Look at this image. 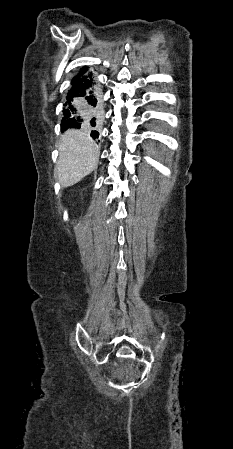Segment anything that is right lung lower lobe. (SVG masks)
<instances>
[{
	"label": "right lung lower lobe",
	"instance_id": "obj_1",
	"mask_svg": "<svg viewBox=\"0 0 233 449\" xmlns=\"http://www.w3.org/2000/svg\"><path fill=\"white\" fill-rule=\"evenodd\" d=\"M64 104L63 130L68 128L95 127L101 119L102 106L92 74L85 71L72 79L71 88ZM92 138H98L97 130L91 131Z\"/></svg>",
	"mask_w": 233,
	"mask_h": 449
}]
</instances>
